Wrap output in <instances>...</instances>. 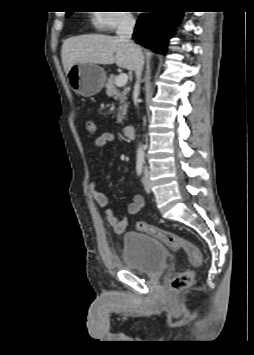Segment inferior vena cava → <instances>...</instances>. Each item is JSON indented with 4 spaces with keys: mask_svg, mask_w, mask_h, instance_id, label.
<instances>
[{
    "mask_svg": "<svg viewBox=\"0 0 254 355\" xmlns=\"http://www.w3.org/2000/svg\"><path fill=\"white\" fill-rule=\"evenodd\" d=\"M135 26V20L130 15H123L118 23L117 27V37L125 42L132 50L135 59V74L137 78V82L135 85V90L139 93L140 89V79L144 66V57L142 51L139 46L135 45L131 40V36L133 33V29Z\"/></svg>",
    "mask_w": 254,
    "mask_h": 355,
    "instance_id": "inferior-vena-cava-1",
    "label": "inferior vena cava"
}]
</instances>
